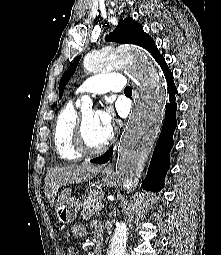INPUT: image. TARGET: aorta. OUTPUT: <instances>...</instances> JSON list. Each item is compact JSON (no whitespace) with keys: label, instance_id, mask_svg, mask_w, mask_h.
I'll use <instances>...</instances> for the list:
<instances>
[{"label":"aorta","instance_id":"762f6f07","mask_svg":"<svg viewBox=\"0 0 221 255\" xmlns=\"http://www.w3.org/2000/svg\"><path fill=\"white\" fill-rule=\"evenodd\" d=\"M84 66L95 71L125 67L131 71L139 85L135 107L126 133L120 141L116 162L118 182L129 194L137 187L143 166L157 138L165 100L163 80L152 57L135 46L117 48L110 53H89L84 58ZM82 101L86 106L92 105L88 96H83ZM80 105V100H77L76 106ZM127 231L124 222L116 226L108 255H125Z\"/></svg>","mask_w":221,"mask_h":255}]
</instances>
